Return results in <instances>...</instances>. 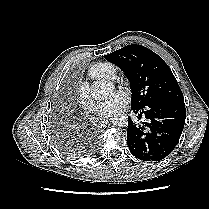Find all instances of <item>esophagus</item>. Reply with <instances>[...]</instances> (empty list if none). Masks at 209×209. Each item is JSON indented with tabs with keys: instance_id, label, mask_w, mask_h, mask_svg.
I'll return each instance as SVG.
<instances>
[{
	"instance_id": "obj_1",
	"label": "esophagus",
	"mask_w": 209,
	"mask_h": 209,
	"mask_svg": "<svg viewBox=\"0 0 209 209\" xmlns=\"http://www.w3.org/2000/svg\"><path fill=\"white\" fill-rule=\"evenodd\" d=\"M108 124V120H103L100 122L101 126H106Z\"/></svg>"
}]
</instances>
